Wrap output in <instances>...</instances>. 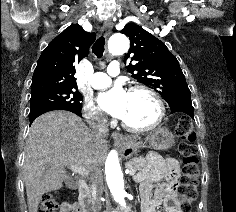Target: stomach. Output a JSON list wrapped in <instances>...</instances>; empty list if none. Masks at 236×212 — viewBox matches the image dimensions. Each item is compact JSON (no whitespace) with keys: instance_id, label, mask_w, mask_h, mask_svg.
<instances>
[{"instance_id":"0dacf381","label":"stomach","mask_w":236,"mask_h":212,"mask_svg":"<svg viewBox=\"0 0 236 212\" xmlns=\"http://www.w3.org/2000/svg\"><path fill=\"white\" fill-rule=\"evenodd\" d=\"M146 142L151 149L167 150L174 144V136L171 131L165 127H159L146 136ZM144 146L142 137L132 135L127 137L124 149L126 154L133 155Z\"/></svg>"}]
</instances>
